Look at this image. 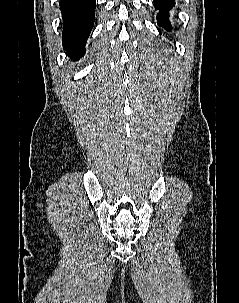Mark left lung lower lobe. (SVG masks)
Segmentation results:
<instances>
[{
    "label": "left lung lower lobe",
    "mask_w": 239,
    "mask_h": 303,
    "mask_svg": "<svg viewBox=\"0 0 239 303\" xmlns=\"http://www.w3.org/2000/svg\"><path fill=\"white\" fill-rule=\"evenodd\" d=\"M175 0H154V6L156 10H159V14L157 16L158 25L165 28L169 31L171 27V23L168 21V12L175 5Z\"/></svg>",
    "instance_id": "obj_1"
}]
</instances>
